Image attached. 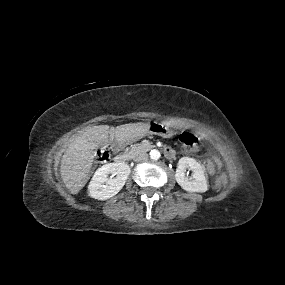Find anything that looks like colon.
I'll return each instance as SVG.
<instances>
[{"instance_id": "5ec220e1", "label": "colon", "mask_w": 285, "mask_h": 285, "mask_svg": "<svg viewBox=\"0 0 285 285\" xmlns=\"http://www.w3.org/2000/svg\"><path fill=\"white\" fill-rule=\"evenodd\" d=\"M179 139L182 141L184 147L186 148H197L200 145V140L194 137L188 131H182L179 134ZM227 183V177L225 174H219L215 177L214 186L216 189H220Z\"/></svg>"}]
</instances>
